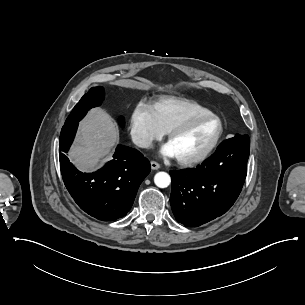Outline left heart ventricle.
I'll use <instances>...</instances> for the list:
<instances>
[{
	"label": "left heart ventricle",
	"mask_w": 305,
	"mask_h": 305,
	"mask_svg": "<svg viewBox=\"0 0 305 305\" xmlns=\"http://www.w3.org/2000/svg\"><path fill=\"white\" fill-rule=\"evenodd\" d=\"M220 127V122L215 118L193 124L178 135L170 145L178 157L197 155L214 142Z\"/></svg>",
	"instance_id": "left-heart-ventricle-1"
}]
</instances>
